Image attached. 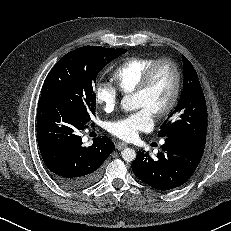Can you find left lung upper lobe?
Wrapping results in <instances>:
<instances>
[{
    "mask_svg": "<svg viewBox=\"0 0 231 231\" xmlns=\"http://www.w3.org/2000/svg\"><path fill=\"white\" fill-rule=\"evenodd\" d=\"M183 92L175 110L160 127L159 137H178L206 140L207 107L205 97L190 61L182 56Z\"/></svg>",
    "mask_w": 231,
    "mask_h": 231,
    "instance_id": "5c2ea615",
    "label": "left lung upper lobe"
}]
</instances>
